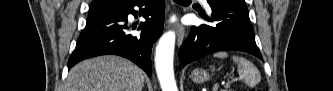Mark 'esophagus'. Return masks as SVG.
<instances>
[{"label":"esophagus","instance_id":"esophagus-1","mask_svg":"<svg viewBox=\"0 0 333 91\" xmlns=\"http://www.w3.org/2000/svg\"><path fill=\"white\" fill-rule=\"evenodd\" d=\"M175 28H176V31H177V44H178V46H181V44L183 42L185 30H184L183 25L180 24V23H176Z\"/></svg>","mask_w":333,"mask_h":91}]
</instances>
